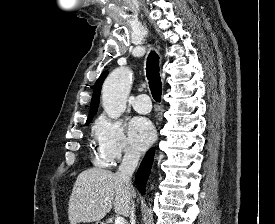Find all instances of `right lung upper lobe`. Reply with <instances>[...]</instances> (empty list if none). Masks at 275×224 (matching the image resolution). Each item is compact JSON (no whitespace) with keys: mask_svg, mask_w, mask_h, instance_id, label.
<instances>
[{"mask_svg":"<svg viewBox=\"0 0 275 224\" xmlns=\"http://www.w3.org/2000/svg\"><path fill=\"white\" fill-rule=\"evenodd\" d=\"M106 75H107V71L104 72L103 74H101V76L98 78V80L95 83L93 96H92V101H91L90 112H89V116H88L87 121L92 120L93 116L97 112L101 87H102V84H103V81H104Z\"/></svg>","mask_w":275,"mask_h":224,"instance_id":"1","label":"right lung upper lobe"}]
</instances>
